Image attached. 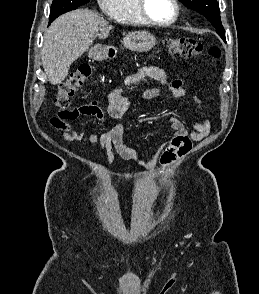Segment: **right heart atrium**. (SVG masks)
I'll use <instances>...</instances> for the list:
<instances>
[{
	"mask_svg": "<svg viewBox=\"0 0 259 294\" xmlns=\"http://www.w3.org/2000/svg\"><path fill=\"white\" fill-rule=\"evenodd\" d=\"M116 0H97L99 8L106 14L112 13Z\"/></svg>",
	"mask_w": 259,
	"mask_h": 294,
	"instance_id": "1",
	"label": "right heart atrium"
}]
</instances>
